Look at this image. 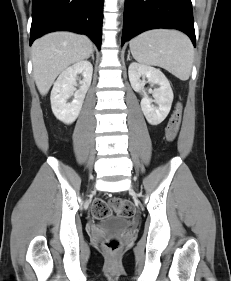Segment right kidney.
I'll return each instance as SVG.
<instances>
[{"mask_svg":"<svg viewBox=\"0 0 231 281\" xmlns=\"http://www.w3.org/2000/svg\"><path fill=\"white\" fill-rule=\"evenodd\" d=\"M93 66L90 62L82 60L66 68L57 78L51 91V108L57 119L71 124L78 117L85 95L90 87L92 80ZM77 74H82L83 79L79 80L77 86ZM74 96L72 102L67 100Z\"/></svg>","mask_w":231,"mask_h":281,"instance_id":"1","label":"right kidney"}]
</instances>
